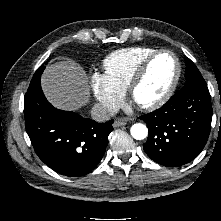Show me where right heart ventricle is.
<instances>
[{
	"label": "right heart ventricle",
	"mask_w": 221,
	"mask_h": 221,
	"mask_svg": "<svg viewBox=\"0 0 221 221\" xmlns=\"http://www.w3.org/2000/svg\"><path fill=\"white\" fill-rule=\"evenodd\" d=\"M156 51L151 47H129L107 55L102 63L104 74L122 92L125 91L141 62Z\"/></svg>",
	"instance_id": "right-heart-ventricle-1"
}]
</instances>
